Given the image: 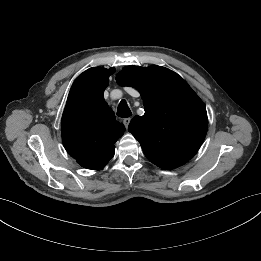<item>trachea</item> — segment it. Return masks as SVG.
I'll list each match as a JSON object with an SVG mask.
<instances>
[{"mask_svg":"<svg viewBox=\"0 0 261 261\" xmlns=\"http://www.w3.org/2000/svg\"><path fill=\"white\" fill-rule=\"evenodd\" d=\"M132 115V112L126 102V100H121L119 105H118V110H117V116L121 118H127Z\"/></svg>","mask_w":261,"mask_h":261,"instance_id":"obj_1","label":"trachea"}]
</instances>
